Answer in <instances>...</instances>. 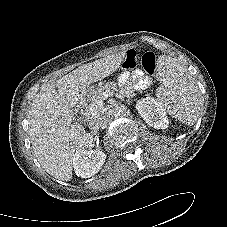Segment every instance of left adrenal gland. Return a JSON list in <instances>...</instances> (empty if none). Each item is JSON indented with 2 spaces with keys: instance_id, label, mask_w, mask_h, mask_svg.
<instances>
[{
  "instance_id": "a2214340",
  "label": "left adrenal gland",
  "mask_w": 227,
  "mask_h": 227,
  "mask_svg": "<svg viewBox=\"0 0 227 227\" xmlns=\"http://www.w3.org/2000/svg\"><path fill=\"white\" fill-rule=\"evenodd\" d=\"M133 96H134V94H132L131 96L128 95L127 97L130 99V98L133 97Z\"/></svg>"
}]
</instances>
